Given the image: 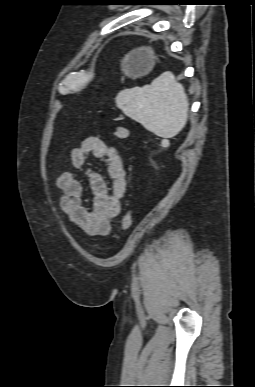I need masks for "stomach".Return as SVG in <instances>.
Wrapping results in <instances>:
<instances>
[{"label": "stomach", "instance_id": "stomach-1", "mask_svg": "<svg viewBox=\"0 0 255 387\" xmlns=\"http://www.w3.org/2000/svg\"><path fill=\"white\" fill-rule=\"evenodd\" d=\"M156 57L151 48L142 47L132 50L122 61V71L132 78L147 75L155 65Z\"/></svg>", "mask_w": 255, "mask_h": 387}]
</instances>
